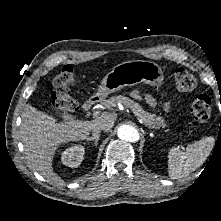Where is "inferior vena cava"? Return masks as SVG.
Wrapping results in <instances>:
<instances>
[{
	"instance_id": "602c4592",
	"label": "inferior vena cava",
	"mask_w": 221,
	"mask_h": 221,
	"mask_svg": "<svg viewBox=\"0 0 221 221\" xmlns=\"http://www.w3.org/2000/svg\"><path fill=\"white\" fill-rule=\"evenodd\" d=\"M104 130L105 131V126L103 124L96 125L92 128V134L93 136L97 135L100 133V131Z\"/></svg>"
}]
</instances>
